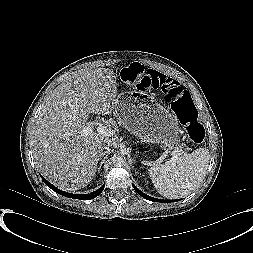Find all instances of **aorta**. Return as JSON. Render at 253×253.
I'll use <instances>...</instances> for the list:
<instances>
[{
	"label": "aorta",
	"mask_w": 253,
	"mask_h": 253,
	"mask_svg": "<svg viewBox=\"0 0 253 253\" xmlns=\"http://www.w3.org/2000/svg\"><path fill=\"white\" fill-rule=\"evenodd\" d=\"M113 164L116 167H122L125 164V159L122 156H116L113 159Z\"/></svg>",
	"instance_id": "762f6f07"
}]
</instances>
